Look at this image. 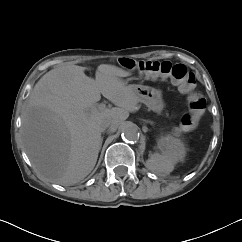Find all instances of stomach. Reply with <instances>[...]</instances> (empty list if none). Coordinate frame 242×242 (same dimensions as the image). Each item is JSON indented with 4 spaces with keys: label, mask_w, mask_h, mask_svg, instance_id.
Returning a JSON list of instances; mask_svg holds the SVG:
<instances>
[{
    "label": "stomach",
    "mask_w": 242,
    "mask_h": 242,
    "mask_svg": "<svg viewBox=\"0 0 242 242\" xmlns=\"http://www.w3.org/2000/svg\"><path fill=\"white\" fill-rule=\"evenodd\" d=\"M133 91L139 102L144 103L150 110L161 113L164 109L162 91L150 86L134 85ZM159 149L163 152H176L181 156L185 155V147L182 142L176 141L171 136H162L157 140Z\"/></svg>",
    "instance_id": "obj_1"
}]
</instances>
